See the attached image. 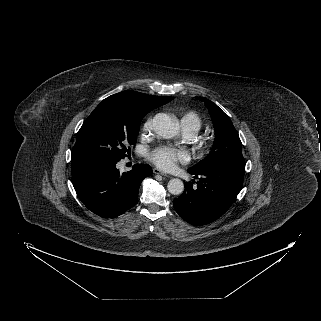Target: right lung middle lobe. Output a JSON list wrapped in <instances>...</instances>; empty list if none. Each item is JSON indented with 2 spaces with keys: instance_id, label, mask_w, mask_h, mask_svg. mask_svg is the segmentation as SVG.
I'll return each mask as SVG.
<instances>
[{
  "instance_id": "right-lung-middle-lobe-1",
  "label": "right lung middle lobe",
  "mask_w": 321,
  "mask_h": 321,
  "mask_svg": "<svg viewBox=\"0 0 321 321\" xmlns=\"http://www.w3.org/2000/svg\"><path fill=\"white\" fill-rule=\"evenodd\" d=\"M147 113L121 99H104L78 131L71 162H118L125 158L130 145L136 143L141 120Z\"/></svg>"
}]
</instances>
